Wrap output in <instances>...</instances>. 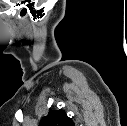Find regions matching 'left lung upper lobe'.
Masks as SVG:
<instances>
[{"instance_id": "1", "label": "left lung upper lobe", "mask_w": 127, "mask_h": 126, "mask_svg": "<svg viewBox=\"0 0 127 126\" xmlns=\"http://www.w3.org/2000/svg\"><path fill=\"white\" fill-rule=\"evenodd\" d=\"M39 126H74V122L65 111L51 110L47 116L43 117Z\"/></svg>"}]
</instances>
